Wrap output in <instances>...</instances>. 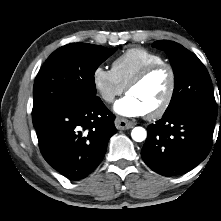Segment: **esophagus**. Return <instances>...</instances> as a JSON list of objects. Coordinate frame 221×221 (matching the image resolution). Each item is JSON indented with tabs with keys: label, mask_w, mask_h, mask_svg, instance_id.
<instances>
[{
	"label": "esophagus",
	"mask_w": 221,
	"mask_h": 221,
	"mask_svg": "<svg viewBox=\"0 0 221 221\" xmlns=\"http://www.w3.org/2000/svg\"><path fill=\"white\" fill-rule=\"evenodd\" d=\"M115 126L119 130H126V129L133 128L135 126V123L128 121L124 118L117 117L115 119Z\"/></svg>",
	"instance_id": "34e87169"
}]
</instances>
